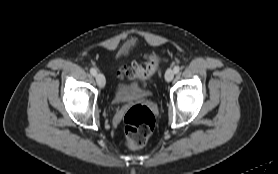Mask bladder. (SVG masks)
Wrapping results in <instances>:
<instances>
[{"instance_id": "obj_1", "label": "bladder", "mask_w": 278, "mask_h": 174, "mask_svg": "<svg viewBox=\"0 0 278 174\" xmlns=\"http://www.w3.org/2000/svg\"><path fill=\"white\" fill-rule=\"evenodd\" d=\"M148 91L139 83L118 84L114 90V99L117 102H126L132 99L147 96Z\"/></svg>"}]
</instances>
